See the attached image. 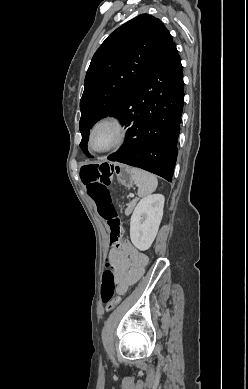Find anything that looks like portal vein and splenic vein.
Listing matches in <instances>:
<instances>
[{
    "label": "portal vein and splenic vein",
    "mask_w": 248,
    "mask_h": 389,
    "mask_svg": "<svg viewBox=\"0 0 248 389\" xmlns=\"http://www.w3.org/2000/svg\"><path fill=\"white\" fill-rule=\"evenodd\" d=\"M129 196H130V197H133V196H134V194L130 193V194H129Z\"/></svg>",
    "instance_id": "portal-vein-and-splenic-vein-1"
}]
</instances>
